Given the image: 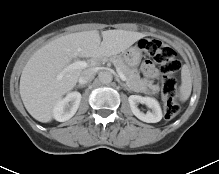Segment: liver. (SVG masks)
Listing matches in <instances>:
<instances>
[{
  "label": "liver",
  "mask_w": 219,
  "mask_h": 174,
  "mask_svg": "<svg viewBox=\"0 0 219 174\" xmlns=\"http://www.w3.org/2000/svg\"><path fill=\"white\" fill-rule=\"evenodd\" d=\"M142 33L126 30H106L102 38L97 30L71 33L56 38L28 60L20 78V95L29 114L47 123L53 118L56 103L76 85L83 71L94 69L101 58L125 51ZM77 57L90 58L87 69H73L58 75Z\"/></svg>",
  "instance_id": "6515ba94"
}]
</instances>
